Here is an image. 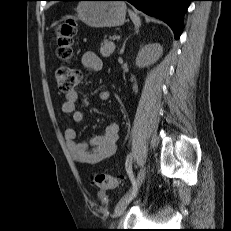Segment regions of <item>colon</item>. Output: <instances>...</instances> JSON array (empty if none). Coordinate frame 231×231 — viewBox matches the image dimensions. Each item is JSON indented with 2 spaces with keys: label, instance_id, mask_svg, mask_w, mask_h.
<instances>
[{
  "label": "colon",
  "instance_id": "colon-1",
  "mask_svg": "<svg viewBox=\"0 0 231 231\" xmlns=\"http://www.w3.org/2000/svg\"><path fill=\"white\" fill-rule=\"evenodd\" d=\"M76 31V21L74 18H65L55 24L54 42L57 46L58 55L64 60L55 71L58 88L62 93H69L81 82L82 73L79 69L70 66L65 62L72 52V43ZM92 182L97 186L102 195L104 192L117 187L118 178L105 173H94Z\"/></svg>",
  "mask_w": 231,
  "mask_h": 231
}]
</instances>
